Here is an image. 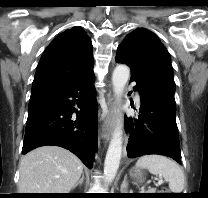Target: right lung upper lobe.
Here are the masks:
<instances>
[{
  "mask_svg": "<svg viewBox=\"0 0 208 198\" xmlns=\"http://www.w3.org/2000/svg\"><path fill=\"white\" fill-rule=\"evenodd\" d=\"M93 72L92 43L79 26L59 34L44 51L31 97L66 89Z\"/></svg>",
  "mask_w": 208,
  "mask_h": 198,
  "instance_id": "obj_1",
  "label": "right lung upper lobe"
}]
</instances>
